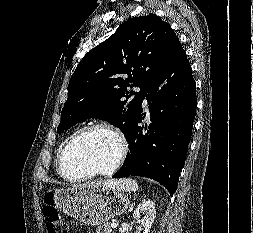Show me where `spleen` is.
<instances>
[{
	"instance_id": "3e777b00",
	"label": "spleen",
	"mask_w": 253,
	"mask_h": 233,
	"mask_svg": "<svg viewBox=\"0 0 253 233\" xmlns=\"http://www.w3.org/2000/svg\"><path fill=\"white\" fill-rule=\"evenodd\" d=\"M111 186L126 192H136L139 188L137 182L130 178L112 180Z\"/></svg>"
}]
</instances>
